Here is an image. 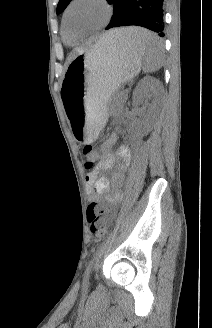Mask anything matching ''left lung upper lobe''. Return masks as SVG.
<instances>
[{
    "label": "left lung upper lobe",
    "mask_w": 212,
    "mask_h": 328,
    "mask_svg": "<svg viewBox=\"0 0 212 328\" xmlns=\"http://www.w3.org/2000/svg\"><path fill=\"white\" fill-rule=\"evenodd\" d=\"M71 0H59L56 13L60 14L67 7Z\"/></svg>",
    "instance_id": "obj_1"
}]
</instances>
